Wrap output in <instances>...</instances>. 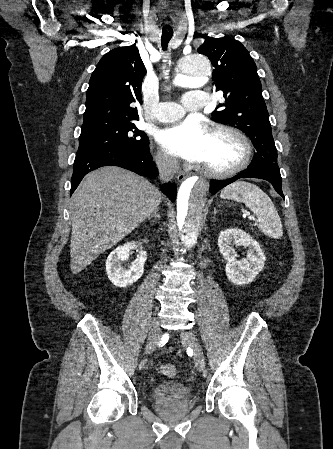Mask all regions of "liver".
I'll use <instances>...</instances> for the list:
<instances>
[{"mask_svg":"<svg viewBox=\"0 0 333 449\" xmlns=\"http://www.w3.org/2000/svg\"><path fill=\"white\" fill-rule=\"evenodd\" d=\"M161 200L151 183L120 167L87 174L70 204L71 269L81 272L152 215Z\"/></svg>","mask_w":333,"mask_h":449,"instance_id":"liver-1","label":"liver"}]
</instances>
